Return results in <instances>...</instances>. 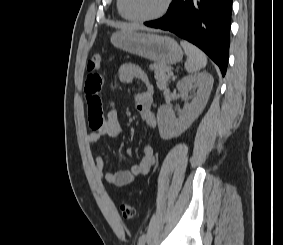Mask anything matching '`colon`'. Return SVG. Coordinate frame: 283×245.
<instances>
[{
    "mask_svg": "<svg viewBox=\"0 0 283 245\" xmlns=\"http://www.w3.org/2000/svg\"><path fill=\"white\" fill-rule=\"evenodd\" d=\"M102 65V57L100 55H94L87 63V69L90 72H96ZM121 213L124 218L131 219L135 216V208L128 203H124L120 206Z\"/></svg>",
    "mask_w": 283,
    "mask_h": 245,
    "instance_id": "1",
    "label": "colon"
}]
</instances>
